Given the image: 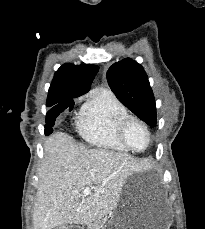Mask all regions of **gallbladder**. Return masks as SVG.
Masks as SVG:
<instances>
[{
	"label": "gallbladder",
	"instance_id": "1",
	"mask_svg": "<svg viewBox=\"0 0 205 229\" xmlns=\"http://www.w3.org/2000/svg\"><path fill=\"white\" fill-rule=\"evenodd\" d=\"M54 229H69L66 225L57 226Z\"/></svg>",
	"mask_w": 205,
	"mask_h": 229
}]
</instances>
